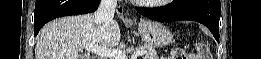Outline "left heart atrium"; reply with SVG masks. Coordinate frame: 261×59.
<instances>
[{
  "instance_id": "1",
  "label": "left heart atrium",
  "mask_w": 261,
  "mask_h": 59,
  "mask_svg": "<svg viewBox=\"0 0 261 59\" xmlns=\"http://www.w3.org/2000/svg\"><path fill=\"white\" fill-rule=\"evenodd\" d=\"M139 3H152V2H161V1H152V0H137Z\"/></svg>"
}]
</instances>
